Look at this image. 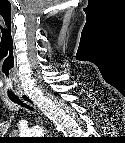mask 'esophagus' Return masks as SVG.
I'll return each instance as SVG.
<instances>
[{"label": "esophagus", "mask_w": 125, "mask_h": 143, "mask_svg": "<svg viewBox=\"0 0 125 143\" xmlns=\"http://www.w3.org/2000/svg\"><path fill=\"white\" fill-rule=\"evenodd\" d=\"M20 99L30 107L37 109L35 103L25 93L19 95Z\"/></svg>", "instance_id": "obj_1"}]
</instances>
